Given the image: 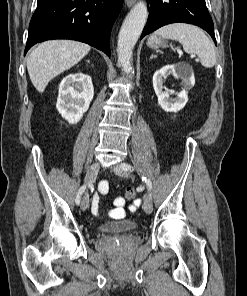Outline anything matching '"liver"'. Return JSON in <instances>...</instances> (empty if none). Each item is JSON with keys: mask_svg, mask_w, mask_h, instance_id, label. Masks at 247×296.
<instances>
[{"mask_svg": "<svg viewBox=\"0 0 247 296\" xmlns=\"http://www.w3.org/2000/svg\"><path fill=\"white\" fill-rule=\"evenodd\" d=\"M91 47L73 40H50L38 45L27 57V70L33 86L42 93L57 75L83 59Z\"/></svg>", "mask_w": 247, "mask_h": 296, "instance_id": "1", "label": "liver"}]
</instances>
